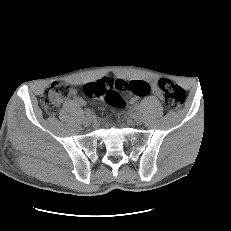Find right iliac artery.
I'll return each mask as SVG.
<instances>
[{
    "mask_svg": "<svg viewBox=\"0 0 231 231\" xmlns=\"http://www.w3.org/2000/svg\"><path fill=\"white\" fill-rule=\"evenodd\" d=\"M85 114L86 115H91L92 114V111L90 109H85Z\"/></svg>",
    "mask_w": 231,
    "mask_h": 231,
    "instance_id": "right-iliac-artery-1",
    "label": "right iliac artery"
}]
</instances>
